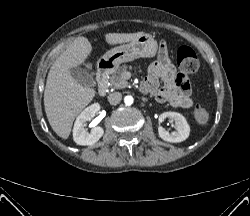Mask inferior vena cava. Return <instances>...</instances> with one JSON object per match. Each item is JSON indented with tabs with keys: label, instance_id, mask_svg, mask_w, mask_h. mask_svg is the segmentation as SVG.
<instances>
[{
	"label": "inferior vena cava",
	"instance_id": "inferior-vena-cava-1",
	"mask_svg": "<svg viewBox=\"0 0 250 216\" xmlns=\"http://www.w3.org/2000/svg\"><path fill=\"white\" fill-rule=\"evenodd\" d=\"M122 99V94L120 92H113L109 94L108 101L112 105L118 104Z\"/></svg>",
	"mask_w": 250,
	"mask_h": 216
}]
</instances>
